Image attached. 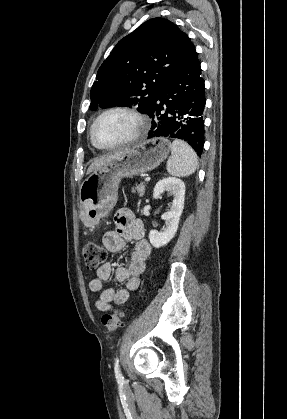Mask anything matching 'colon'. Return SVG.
Listing matches in <instances>:
<instances>
[{"mask_svg": "<svg viewBox=\"0 0 287 419\" xmlns=\"http://www.w3.org/2000/svg\"><path fill=\"white\" fill-rule=\"evenodd\" d=\"M83 256L87 269L95 270L104 264L107 259V252L97 241H88L83 247ZM123 316L124 311L122 310H113L105 313L102 316V324L109 332L113 333L120 327Z\"/></svg>", "mask_w": 287, "mask_h": 419, "instance_id": "obj_1", "label": "colon"}]
</instances>
